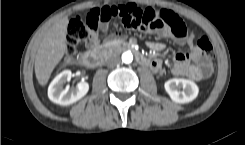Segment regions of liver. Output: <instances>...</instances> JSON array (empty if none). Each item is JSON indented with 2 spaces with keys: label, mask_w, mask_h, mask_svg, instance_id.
Returning a JSON list of instances; mask_svg holds the SVG:
<instances>
[{
  "label": "liver",
  "mask_w": 245,
  "mask_h": 145,
  "mask_svg": "<svg viewBox=\"0 0 245 145\" xmlns=\"http://www.w3.org/2000/svg\"><path fill=\"white\" fill-rule=\"evenodd\" d=\"M68 21H61L52 26L46 33L38 49L36 58V76L40 84L47 83L54 66L61 59L65 49V34Z\"/></svg>",
  "instance_id": "1"
}]
</instances>
